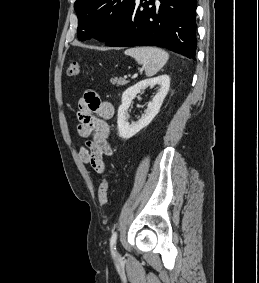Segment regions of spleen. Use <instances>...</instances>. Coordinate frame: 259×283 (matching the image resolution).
<instances>
[{"label": "spleen", "mask_w": 259, "mask_h": 283, "mask_svg": "<svg viewBox=\"0 0 259 283\" xmlns=\"http://www.w3.org/2000/svg\"><path fill=\"white\" fill-rule=\"evenodd\" d=\"M125 55L142 65L147 77L154 76L169 59L168 53L157 47H134L127 49Z\"/></svg>", "instance_id": "spleen-1"}]
</instances>
